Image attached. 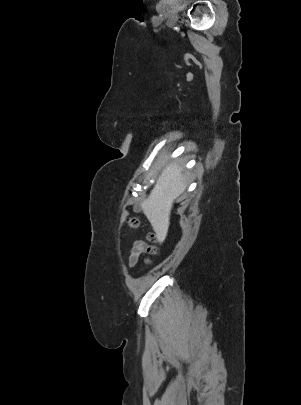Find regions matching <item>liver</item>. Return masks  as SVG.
Instances as JSON below:
<instances>
[{
  "mask_svg": "<svg viewBox=\"0 0 301 405\" xmlns=\"http://www.w3.org/2000/svg\"><path fill=\"white\" fill-rule=\"evenodd\" d=\"M186 187L182 167L176 162L169 163L161 171L149 197L142 202L143 212L160 242H163L167 236L173 202Z\"/></svg>",
  "mask_w": 301,
  "mask_h": 405,
  "instance_id": "liver-1",
  "label": "liver"
}]
</instances>
